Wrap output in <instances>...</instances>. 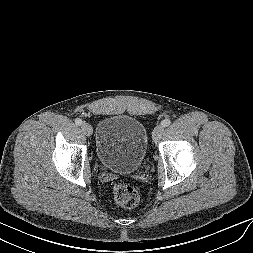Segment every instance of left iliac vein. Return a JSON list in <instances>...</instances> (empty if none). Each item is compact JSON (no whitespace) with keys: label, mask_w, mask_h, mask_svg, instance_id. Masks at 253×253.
Wrapping results in <instances>:
<instances>
[{"label":"left iliac vein","mask_w":253,"mask_h":253,"mask_svg":"<svg viewBox=\"0 0 253 253\" xmlns=\"http://www.w3.org/2000/svg\"><path fill=\"white\" fill-rule=\"evenodd\" d=\"M163 132L164 127L162 125H158L157 127H155L152 133V139L155 143H157L161 139Z\"/></svg>","instance_id":"4c4485c4"}]
</instances>
